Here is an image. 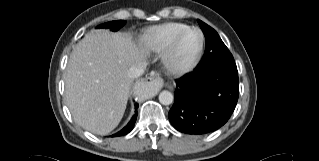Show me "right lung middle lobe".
<instances>
[{"label":"right lung middle lobe","mask_w":319,"mask_h":161,"mask_svg":"<svg viewBox=\"0 0 319 161\" xmlns=\"http://www.w3.org/2000/svg\"><path fill=\"white\" fill-rule=\"evenodd\" d=\"M125 22L123 20L111 21L102 25H99L97 28H110L113 31L120 29Z\"/></svg>","instance_id":"1"}]
</instances>
